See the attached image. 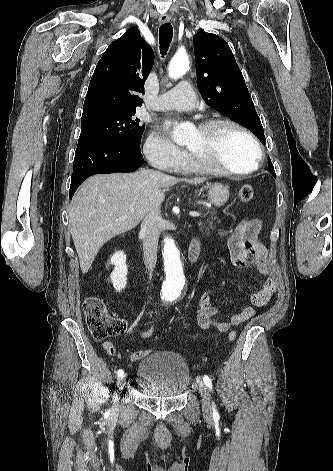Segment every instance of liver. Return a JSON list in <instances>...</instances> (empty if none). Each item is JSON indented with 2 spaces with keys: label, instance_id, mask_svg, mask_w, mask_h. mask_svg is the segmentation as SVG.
Returning a JSON list of instances; mask_svg holds the SVG:
<instances>
[{
  "label": "liver",
  "instance_id": "6515ba94",
  "mask_svg": "<svg viewBox=\"0 0 333 471\" xmlns=\"http://www.w3.org/2000/svg\"><path fill=\"white\" fill-rule=\"evenodd\" d=\"M182 181L197 185L204 179H180L148 169L87 179L75 194L69 212L82 272L89 271L107 241L135 228L150 209L161 205L169 187Z\"/></svg>",
  "mask_w": 333,
  "mask_h": 471
}]
</instances>
